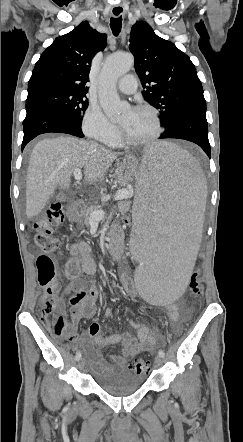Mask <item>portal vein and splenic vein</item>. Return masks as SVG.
Returning <instances> with one entry per match:
<instances>
[{
  "label": "portal vein and splenic vein",
  "mask_w": 243,
  "mask_h": 442,
  "mask_svg": "<svg viewBox=\"0 0 243 442\" xmlns=\"http://www.w3.org/2000/svg\"><path fill=\"white\" fill-rule=\"evenodd\" d=\"M74 177L77 181L82 179V172L81 169L76 168L73 172ZM132 191L128 190V189H123L119 192L116 193V195L114 196L115 200H123V199H129L132 196ZM105 216V213L103 210H96L91 214L90 220L93 222H98L100 220H102Z\"/></svg>",
  "instance_id": "portal-vein-and-splenic-vein-1"
}]
</instances>
